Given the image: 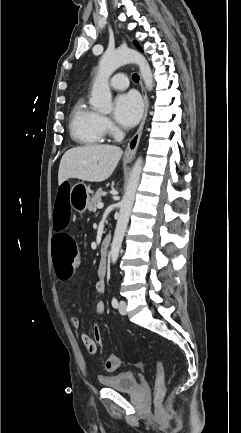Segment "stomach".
<instances>
[{"instance_id":"obj_1","label":"stomach","mask_w":241,"mask_h":433,"mask_svg":"<svg viewBox=\"0 0 241 433\" xmlns=\"http://www.w3.org/2000/svg\"><path fill=\"white\" fill-rule=\"evenodd\" d=\"M71 207L79 213L86 211L90 201L89 190L83 183H76L70 188Z\"/></svg>"}]
</instances>
